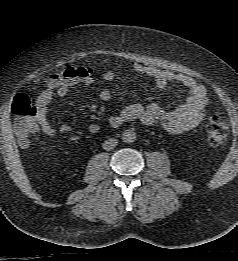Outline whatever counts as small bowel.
<instances>
[{
  "label": "small bowel",
  "instance_id": "obj_1",
  "mask_svg": "<svg viewBox=\"0 0 238 261\" xmlns=\"http://www.w3.org/2000/svg\"><path fill=\"white\" fill-rule=\"evenodd\" d=\"M83 69L85 70L83 76L58 80L51 78L47 88L37 97L35 104L37 123L44 134L52 137L57 133L66 134L72 130L69 124H62L56 130L48 120V107L54 97H65L72 86L78 83L86 86L93 84L94 78L91 70L85 67ZM133 70L138 74L152 77L159 89H164L171 82L179 83L189 92V97L183 105L173 111H165L157 103L128 105L117 115L109 118L112 127H120L131 121H140L147 126H158L170 135H178L201 123L209 103L207 91L203 85L190 76L170 70H162L144 62H136L133 65ZM115 78V73L112 71L103 74V80L107 84L112 83ZM98 98L104 102L108 101L111 98L110 89L108 87L101 88L98 92ZM99 130L100 126L97 123H91L88 126V131L92 134H96Z\"/></svg>",
  "mask_w": 238,
  "mask_h": 261
}]
</instances>
